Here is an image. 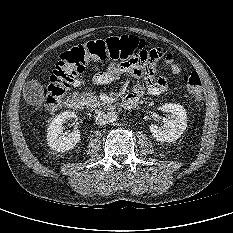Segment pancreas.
Segmentation results:
<instances>
[{"instance_id": "pancreas-1", "label": "pancreas", "mask_w": 233, "mask_h": 233, "mask_svg": "<svg viewBox=\"0 0 233 233\" xmlns=\"http://www.w3.org/2000/svg\"><path fill=\"white\" fill-rule=\"evenodd\" d=\"M82 100L88 106L93 107V108H96V107H99V106L103 105V103L97 98V96H95L92 93L83 94L82 95Z\"/></svg>"}]
</instances>
